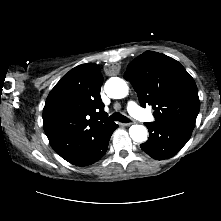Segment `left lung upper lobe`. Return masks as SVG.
<instances>
[{
    "mask_svg": "<svg viewBox=\"0 0 221 221\" xmlns=\"http://www.w3.org/2000/svg\"><path fill=\"white\" fill-rule=\"evenodd\" d=\"M124 78L132 84L143 107L152 105L155 122L194 126L200 109L198 90L178 61L146 51L128 65Z\"/></svg>",
    "mask_w": 221,
    "mask_h": 221,
    "instance_id": "1",
    "label": "left lung upper lobe"
}]
</instances>
